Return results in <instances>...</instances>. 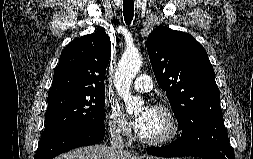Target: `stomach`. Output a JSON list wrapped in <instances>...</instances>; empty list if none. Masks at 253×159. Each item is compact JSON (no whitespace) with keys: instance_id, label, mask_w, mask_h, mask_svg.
<instances>
[{"instance_id":"0dacf381","label":"stomach","mask_w":253,"mask_h":159,"mask_svg":"<svg viewBox=\"0 0 253 159\" xmlns=\"http://www.w3.org/2000/svg\"><path fill=\"white\" fill-rule=\"evenodd\" d=\"M147 159H162V158H153V157H148ZM173 159H181V158H173Z\"/></svg>"}]
</instances>
